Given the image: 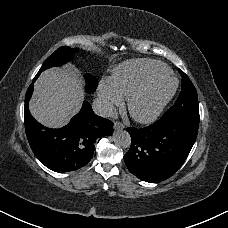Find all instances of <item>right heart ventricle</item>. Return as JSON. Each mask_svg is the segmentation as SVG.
<instances>
[{
  "mask_svg": "<svg viewBox=\"0 0 228 228\" xmlns=\"http://www.w3.org/2000/svg\"><path fill=\"white\" fill-rule=\"evenodd\" d=\"M170 70L155 61H131L118 66L111 78L112 84L124 96L130 97L145 82L154 78H164Z\"/></svg>",
  "mask_w": 228,
  "mask_h": 228,
  "instance_id": "e07e8e85",
  "label": "right heart ventricle"
}]
</instances>
